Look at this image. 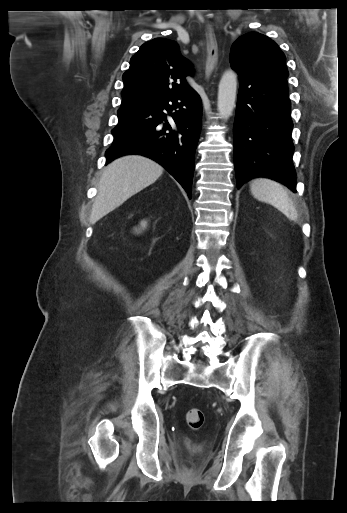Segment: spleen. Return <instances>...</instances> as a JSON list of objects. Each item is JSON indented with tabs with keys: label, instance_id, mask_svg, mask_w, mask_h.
<instances>
[{
	"label": "spleen",
	"instance_id": "obj_1",
	"mask_svg": "<svg viewBox=\"0 0 347 513\" xmlns=\"http://www.w3.org/2000/svg\"><path fill=\"white\" fill-rule=\"evenodd\" d=\"M254 198L269 203L291 220H297L296 208L281 184L268 178H256L250 184Z\"/></svg>",
	"mask_w": 347,
	"mask_h": 513
}]
</instances>
